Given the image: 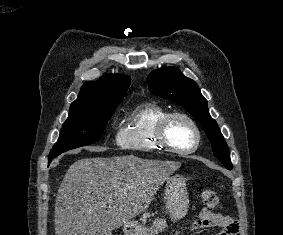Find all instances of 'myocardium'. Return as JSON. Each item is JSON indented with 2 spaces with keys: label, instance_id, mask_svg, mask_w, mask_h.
<instances>
[{
  "label": "myocardium",
  "instance_id": "1",
  "mask_svg": "<svg viewBox=\"0 0 283 235\" xmlns=\"http://www.w3.org/2000/svg\"><path fill=\"white\" fill-rule=\"evenodd\" d=\"M183 119L187 121L191 127L193 128V131L195 133V143L191 148L188 149H178L172 146L167 138V129L170 124V122L174 119ZM156 138L158 143L161 145L163 149H165L168 152L179 154V155H187L195 152L201 142V132L198 124L196 121L187 113L184 112H169L167 115H165L159 122L157 129H156Z\"/></svg>",
  "mask_w": 283,
  "mask_h": 235
}]
</instances>
